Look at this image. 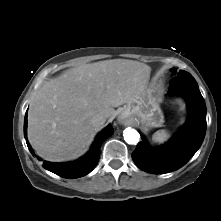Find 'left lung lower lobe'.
I'll return each mask as SVG.
<instances>
[{"label":"left lung lower lobe","mask_w":221,"mask_h":221,"mask_svg":"<svg viewBox=\"0 0 221 221\" xmlns=\"http://www.w3.org/2000/svg\"><path fill=\"white\" fill-rule=\"evenodd\" d=\"M168 94H179L186 100V123L165 145L153 149L143 140L132 153L135 164L153 174L172 172L185 165L200 148L206 133V105L195 79H176L170 83Z\"/></svg>","instance_id":"0a47b994"}]
</instances>
